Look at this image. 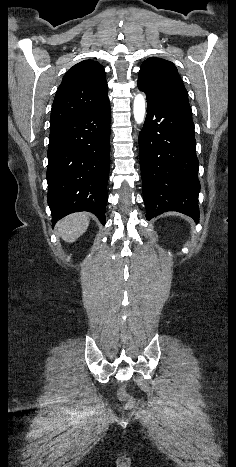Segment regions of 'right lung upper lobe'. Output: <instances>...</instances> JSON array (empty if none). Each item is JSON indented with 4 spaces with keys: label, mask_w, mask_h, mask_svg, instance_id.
Here are the masks:
<instances>
[{
    "label": "right lung upper lobe",
    "mask_w": 236,
    "mask_h": 467,
    "mask_svg": "<svg viewBox=\"0 0 236 467\" xmlns=\"http://www.w3.org/2000/svg\"><path fill=\"white\" fill-rule=\"evenodd\" d=\"M108 100L105 71L94 60L71 67L63 77L52 106L50 126L79 117Z\"/></svg>",
    "instance_id": "1"
}]
</instances>
